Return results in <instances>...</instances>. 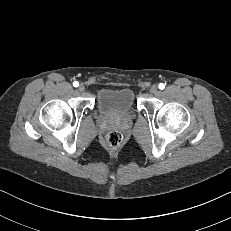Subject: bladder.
Here are the masks:
<instances>
[{"mask_svg": "<svg viewBox=\"0 0 231 231\" xmlns=\"http://www.w3.org/2000/svg\"><path fill=\"white\" fill-rule=\"evenodd\" d=\"M99 111L111 117L129 115L135 106V97L129 88L102 89L97 95Z\"/></svg>", "mask_w": 231, "mask_h": 231, "instance_id": "1", "label": "bladder"}]
</instances>
